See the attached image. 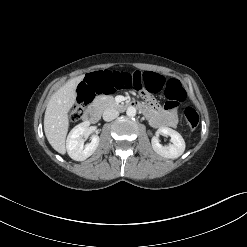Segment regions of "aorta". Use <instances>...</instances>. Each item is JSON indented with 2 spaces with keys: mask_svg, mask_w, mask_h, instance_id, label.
Wrapping results in <instances>:
<instances>
[{
  "mask_svg": "<svg viewBox=\"0 0 247 247\" xmlns=\"http://www.w3.org/2000/svg\"><path fill=\"white\" fill-rule=\"evenodd\" d=\"M126 114L129 117H134L136 115V108L133 106L128 107L126 110Z\"/></svg>",
  "mask_w": 247,
  "mask_h": 247,
  "instance_id": "obj_1",
  "label": "aorta"
}]
</instances>
